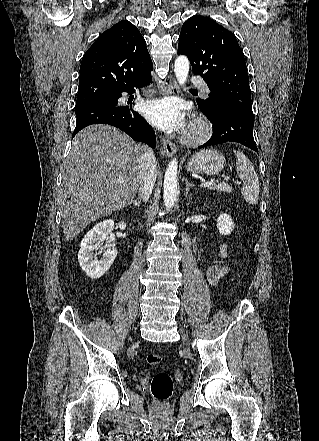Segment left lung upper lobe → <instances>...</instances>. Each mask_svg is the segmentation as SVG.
<instances>
[{
  "mask_svg": "<svg viewBox=\"0 0 319 441\" xmlns=\"http://www.w3.org/2000/svg\"><path fill=\"white\" fill-rule=\"evenodd\" d=\"M178 54L186 55L194 74L206 81L208 99H197L208 110L231 107L254 117L243 52L236 37L209 17L194 15L182 26Z\"/></svg>",
  "mask_w": 319,
  "mask_h": 441,
  "instance_id": "5c2ea615",
  "label": "left lung upper lobe"
}]
</instances>
